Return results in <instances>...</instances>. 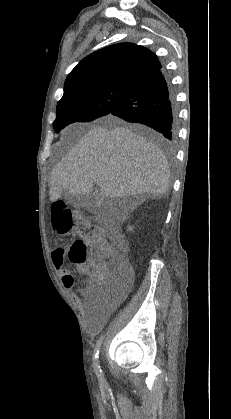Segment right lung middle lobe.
<instances>
[{"label": "right lung middle lobe", "mask_w": 231, "mask_h": 419, "mask_svg": "<svg viewBox=\"0 0 231 419\" xmlns=\"http://www.w3.org/2000/svg\"><path fill=\"white\" fill-rule=\"evenodd\" d=\"M132 87L106 85L82 88L70 93L57 104L54 130L61 129L73 122H89L108 115L130 93Z\"/></svg>", "instance_id": "obj_1"}]
</instances>
